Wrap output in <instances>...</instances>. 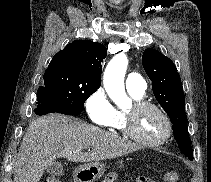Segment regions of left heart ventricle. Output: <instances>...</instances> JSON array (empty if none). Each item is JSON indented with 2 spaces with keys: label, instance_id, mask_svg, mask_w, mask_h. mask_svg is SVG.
Segmentation results:
<instances>
[{
  "label": "left heart ventricle",
  "instance_id": "left-heart-ventricle-1",
  "mask_svg": "<svg viewBox=\"0 0 211 182\" xmlns=\"http://www.w3.org/2000/svg\"><path fill=\"white\" fill-rule=\"evenodd\" d=\"M131 107L128 112H132ZM135 130L145 140L159 139L165 131V123L161 115L152 108H146L135 115Z\"/></svg>",
  "mask_w": 211,
  "mask_h": 182
}]
</instances>
